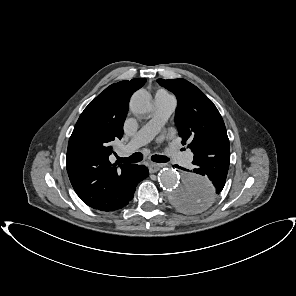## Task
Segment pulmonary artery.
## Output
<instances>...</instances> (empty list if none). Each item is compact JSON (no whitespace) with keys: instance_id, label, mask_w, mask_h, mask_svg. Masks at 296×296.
<instances>
[{"instance_id":"pulmonary-artery-1","label":"pulmonary artery","mask_w":296,"mask_h":296,"mask_svg":"<svg viewBox=\"0 0 296 296\" xmlns=\"http://www.w3.org/2000/svg\"><path fill=\"white\" fill-rule=\"evenodd\" d=\"M176 104L177 100L175 96L163 90L157 91L155 94V110L152 118L133 136L127 144L125 151H133L149 142L160 131L175 110ZM169 153L179 163L185 166L190 165L193 160V154L190 151L180 153L176 150H171Z\"/></svg>"}]
</instances>
